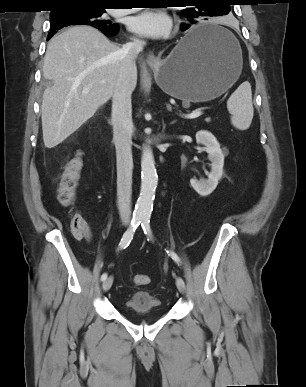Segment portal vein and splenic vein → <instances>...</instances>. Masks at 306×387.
<instances>
[{"mask_svg": "<svg viewBox=\"0 0 306 387\" xmlns=\"http://www.w3.org/2000/svg\"><path fill=\"white\" fill-rule=\"evenodd\" d=\"M89 88H90V86L85 87L83 89V93L84 94L88 93ZM201 114H202L201 111H194V112H192L190 114L182 115V117L185 118V119H195V118L199 117Z\"/></svg>", "mask_w": 306, "mask_h": 387, "instance_id": "obj_1", "label": "portal vein and splenic vein"}]
</instances>
